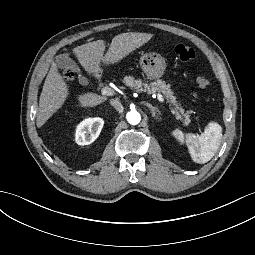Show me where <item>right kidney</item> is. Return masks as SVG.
I'll list each match as a JSON object with an SVG mask.
<instances>
[{
  "mask_svg": "<svg viewBox=\"0 0 255 255\" xmlns=\"http://www.w3.org/2000/svg\"><path fill=\"white\" fill-rule=\"evenodd\" d=\"M104 125L102 118H87L76 127L75 141L78 145H88L96 140Z\"/></svg>",
  "mask_w": 255,
  "mask_h": 255,
  "instance_id": "right-kidney-1",
  "label": "right kidney"
}]
</instances>
